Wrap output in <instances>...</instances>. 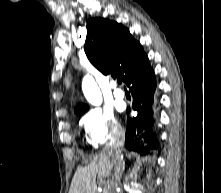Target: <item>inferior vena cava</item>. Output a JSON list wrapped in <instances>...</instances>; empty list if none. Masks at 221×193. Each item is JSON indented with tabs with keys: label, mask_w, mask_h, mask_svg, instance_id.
Masks as SVG:
<instances>
[{
	"label": "inferior vena cava",
	"mask_w": 221,
	"mask_h": 193,
	"mask_svg": "<svg viewBox=\"0 0 221 193\" xmlns=\"http://www.w3.org/2000/svg\"><path fill=\"white\" fill-rule=\"evenodd\" d=\"M125 141V134L122 130H118L112 136L108 144V151L113 155L114 173L110 180L108 193H115L118 183L122 177L125 163L122 155V148Z\"/></svg>",
	"instance_id": "1"
}]
</instances>
